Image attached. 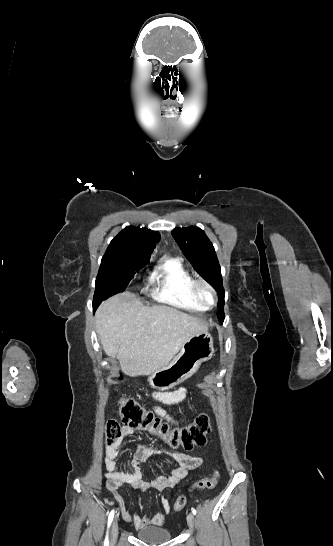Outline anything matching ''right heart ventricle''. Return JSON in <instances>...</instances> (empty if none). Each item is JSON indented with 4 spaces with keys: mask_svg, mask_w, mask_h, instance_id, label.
I'll return each instance as SVG.
<instances>
[{
    "mask_svg": "<svg viewBox=\"0 0 333 546\" xmlns=\"http://www.w3.org/2000/svg\"><path fill=\"white\" fill-rule=\"evenodd\" d=\"M193 278L179 259L171 258L152 274V297L164 305L191 312H204L206 307L195 300L190 291Z\"/></svg>",
    "mask_w": 333,
    "mask_h": 546,
    "instance_id": "e07e8e85",
    "label": "right heart ventricle"
}]
</instances>
